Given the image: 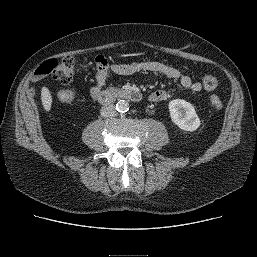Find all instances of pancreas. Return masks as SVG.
<instances>
[{
  "mask_svg": "<svg viewBox=\"0 0 257 257\" xmlns=\"http://www.w3.org/2000/svg\"><path fill=\"white\" fill-rule=\"evenodd\" d=\"M115 88L114 87H109L108 90L109 91H113Z\"/></svg>",
  "mask_w": 257,
  "mask_h": 257,
  "instance_id": "cf45deb5",
  "label": "pancreas"
}]
</instances>
